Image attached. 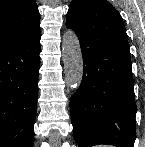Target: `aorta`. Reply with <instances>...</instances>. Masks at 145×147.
Returning <instances> with one entry per match:
<instances>
[{
	"label": "aorta",
	"instance_id": "1",
	"mask_svg": "<svg viewBox=\"0 0 145 147\" xmlns=\"http://www.w3.org/2000/svg\"><path fill=\"white\" fill-rule=\"evenodd\" d=\"M62 59L67 85L72 89L78 88L83 77V58L79 39L72 30H67L63 35Z\"/></svg>",
	"mask_w": 145,
	"mask_h": 147
}]
</instances>
